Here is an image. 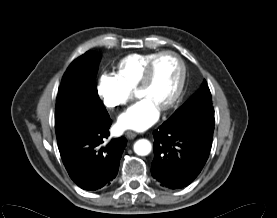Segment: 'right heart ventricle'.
<instances>
[{
    "mask_svg": "<svg viewBox=\"0 0 277 218\" xmlns=\"http://www.w3.org/2000/svg\"><path fill=\"white\" fill-rule=\"evenodd\" d=\"M156 54V52L135 53L126 56L118 64L119 76L130 88L136 89L148 63Z\"/></svg>",
    "mask_w": 277,
    "mask_h": 218,
    "instance_id": "e07e8e85",
    "label": "right heart ventricle"
}]
</instances>
